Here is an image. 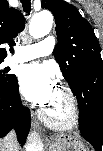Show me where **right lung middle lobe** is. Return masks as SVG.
I'll use <instances>...</instances> for the list:
<instances>
[{
	"instance_id": "right-lung-middle-lobe-1",
	"label": "right lung middle lobe",
	"mask_w": 103,
	"mask_h": 151,
	"mask_svg": "<svg viewBox=\"0 0 103 151\" xmlns=\"http://www.w3.org/2000/svg\"><path fill=\"white\" fill-rule=\"evenodd\" d=\"M3 60H0L2 63ZM8 67L0 69V89L13 90L18 86L17 78L15 75L9 73Z\"/></svg>"
}]
</instances>
